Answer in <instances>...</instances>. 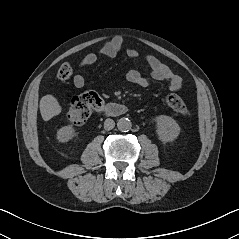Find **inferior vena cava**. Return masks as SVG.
I'll return each mask as SVG.
<instances>
[{
    "mask_svg": "<svg viewBox=\"0 0 239 239\" xmlns=\"http://www.w3.org/2000/svg\"><path fill=\"white\" fill-rule=\"evenodd\" d=\"M114 126H115L114 120H112L110 118L105 120V122H104V129L105 130H112L114 128Z\"/></svg>",
    "mask_w": 239,
    "mask_h": 239,
    "instance_id": "obj_1",
    "label": "inferior vena cava"
}]
</instances>
